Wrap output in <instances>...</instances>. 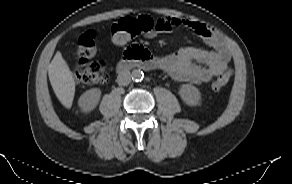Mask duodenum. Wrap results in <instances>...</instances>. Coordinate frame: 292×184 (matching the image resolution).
Listing matches in <instances>:
<instances>
[{"label":"duodenum","instance_id":"obj_1","mask_svg":"<svg viewBox=\"0 0 292 184\" xmlns=\"http://www.w3.org/2000/svg\"><path fill=\"white\" fill-rule=\"evenodd\" d=\"M131 66L144 70L153 69L159 66V60L140 47L131 48L125 53L124 59L118 63L117 72L123 73Z\"/></svg>","mask_w":292,"mask_h":184}]
</instances>
